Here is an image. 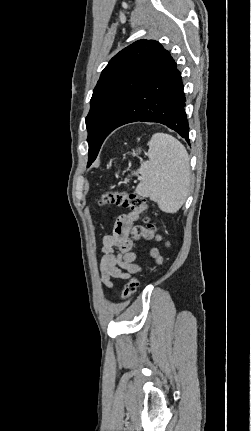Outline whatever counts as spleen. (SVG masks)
<instances>
[{"label":"spleen","mask_w":251,"mask_h":431,"mask_svg":"<svg viewBox=\"0 0 251 431\" xmlns=\"http://www.w3.org/2000/svg\"><path fill=\"white\" fill-rule=\"evenodd\" d=\"M149 160L137 172L141 182L136 193L157 202L166 213H175L184 204L191 182L189 155L184 145L166 133H155L148 150ZM129 181V179H125Z\"/></svg>","instance_id":"3e777b00"}]
</instances>
